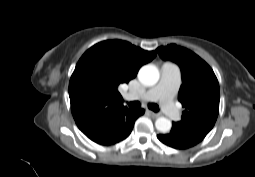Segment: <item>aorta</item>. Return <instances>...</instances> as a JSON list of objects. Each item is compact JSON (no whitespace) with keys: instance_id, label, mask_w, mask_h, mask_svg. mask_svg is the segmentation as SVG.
Returning <instances> with one entry per match:
<instances>
[{"instance_id":"762f6f07","label":"aorta","mask_w":255,"mask_h":177,"mask_svg":"<svg viewBox=\"0 0 255 177\" xmlns=\"http://www.w3.org/2000/svg\"><path fill=\"white\" fill-rule=\"evenodd\" d=\"M160 78L159 70L156 66L152 64H147L141 67L138 73L139 81L145 86L155 85ZM155 127L158 131L162 133H167L172 127V123L169 119L165 117H159L155 121Z\"/></svg>"}]
</instances>
